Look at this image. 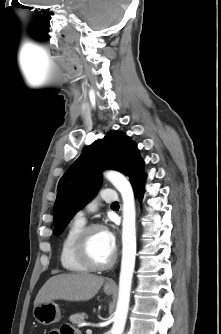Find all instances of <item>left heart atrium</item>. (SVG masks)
<instances>
[{"mask_svg": "<svg viewBox=\"0 0 221 334\" xmlns=\"http://www.w3.org/2000/svg\"><path fill=\"white\" fill-rule=\"evenodd\" d=\"M105 234H106V237H107V241L109 243V245L115 249V246H116V237L114 235V233L110 230H105Z\"/></svg>", "mask_w": 221, "mask_h": 334, "instance_id": "39dd6f15", "label": "left heart atrium"}]
</instances>
